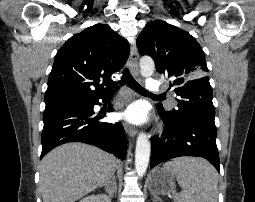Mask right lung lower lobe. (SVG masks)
<instances>
[{"mask_svg": "<svg viewBox=\"0 0 255 202\" xmlns=\"http://www.w3.org/2000/svg\"><path fill=\"white\" fill-rule=\"evenodd\" d=\"M110 94L45 110L41 158L61 144L83 142L124 160L127 140L122 124L100 122L104 116L95 115L93 111L94 105H100L99 99L107 101ZM111 111L112 106H109L108 112Z\"/></svg>", "mask_w": 255, "mask_h": 202, "instance_id": "98d812e1", "label": "right lung lower lobe"}]
</instances>
